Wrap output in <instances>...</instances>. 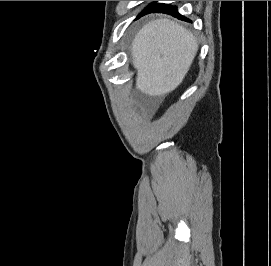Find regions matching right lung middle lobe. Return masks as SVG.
Returning <instances> with one entry per match:
<instances>
[{
    "instance_id": "right-lung-middle-lobe-1",
    "label": "right lung middle lobe",
    "mask_w": 271,
    "mask_h": 266,
    "mask_svg": "<svg viewBox=\"0 0 271 266\" xmlns=\"http://www.w3.org/2000/svg\"><path fill=\"white\" fill-rule=\"evenodd\" d=\"M158 4L157 3H153V4H151L150 6H148L147 8H145L144 10H143V12L142 13H144V12H146V11H148V10H150V9H152V8H154L155 6H157Z\"/></svg>"
}]
</instances>
